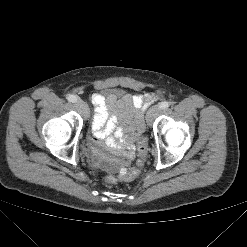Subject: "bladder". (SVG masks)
Here are the masks:
<instances>
[{
    "label": "bladder",
    "mask_w": 247,
    "mask_h": 247,
    "mask_svg": "<svg viewBox=\"0 0 247 247\" xmlns=\"http://www.w3.org/2000/svg\"><path fill=\"white\" fill-rule=\"evenodd\" d=\"M109 94H116L117 96L119 95V93L118 92H116V90H114V89H108V90H106Z\"/></svg>",
    "instance_id": "31cf9c89"
}]
</instances>
